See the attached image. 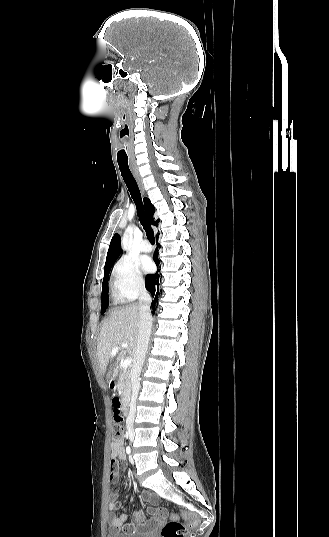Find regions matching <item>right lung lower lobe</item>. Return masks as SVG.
<instances>
[{"mask_svg":"<svg viewBox=\"0 0 329 537\" xmlns=\"http://www.w3.org/2000/svg\"><path fill=\"white\" fill-rule=\"evenodd\" d=\"M157 249H158V247L156 248V251H155V254H154V261H155V263H156V265L158 267L159 264H160V261L158 259ZM159 278H160L159 272H156L155 274L147 275L146 280H145L146 289L151 293L152 297L154 298V300L152 301V304H151L152 309L154 311H155V303H156V301L158 299V295H159V287H158Z\"/></svg>","mask_w":329,"mask_h":537,"instance_id":"obj_1","label":"right lung lower lobe"}]
</instances>
